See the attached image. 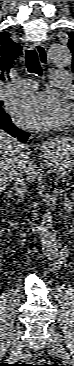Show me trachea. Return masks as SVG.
<instances>
[{
  "label": "trachea",
  "instance_id": "3493384b",
  "mask_svg": "<svg viewBox=\"0 0 74 366\" xmlns=\"http://www.w3.org/2000/svg\"><path fill=\"white\" fill-rule=\"evenodd\" d=\"M25 62L28 72L42 76L43 70L39 63L38 54L34 49L26 50Z\"/></svg>",
  "mask_w": 74,
  "mask_h": 366
}]
</instances>
